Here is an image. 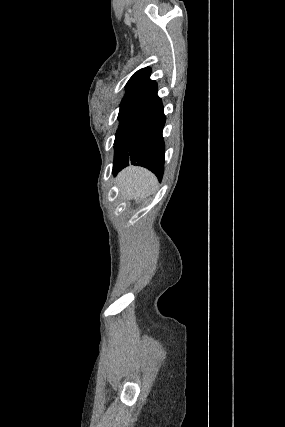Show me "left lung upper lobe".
<instances>
[{"instance_id":"1","label":"left lung upper lobe","mask_w":285,"mask_h":427,"mask_svg":"<svg viewBox=\"0 0 285 427\" xmlns=\"http://www.w3.org/2000/svg\"><path fill=\"white\" fill-rule=\"evenodd\" d=\"M149 67L138 70L126 84V94L120 104L118 119L120 124L115 135L114 145L127 126L157 95V84L150 79Z\"/></svg>"}]
</instances>
